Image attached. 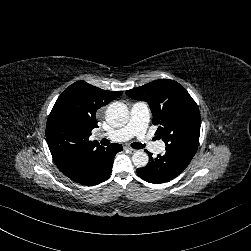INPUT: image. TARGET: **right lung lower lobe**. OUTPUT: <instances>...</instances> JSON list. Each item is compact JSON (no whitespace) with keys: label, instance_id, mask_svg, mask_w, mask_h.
<instances>
[{"label":"right lung lower lobe","instance_id":"obj_1","mask_svg":"<svg viewBox=\"0 0 251 251\" xmlns=\"http://www.w3.org/2000/svg\"><path fill=\"white\" fill-rule=\"evenodd\" d=\"M120 144H111L102 152L93 155L64 173L67 177L83 185H96L109 177L115 155L122 151Z\"/></svg>","mask_w":251,"mask_h":251}]
</instances>
